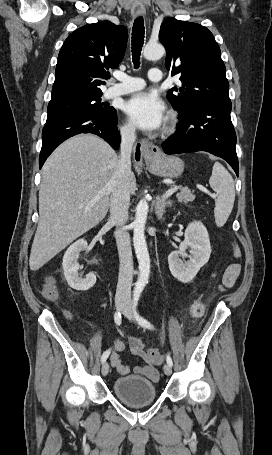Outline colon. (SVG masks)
<instances>
[{"label": "colon", "mask_w": 272, "mask_h": 455, "mask_svg": "<svg viewBox=\"0 0 272 455\" xmlns=\"http://www.w3.org/2000/svg\"><path fill=\"white\" fill-rule=\"evenodd\" d=\"M216 273L213 274V277ZM44 297L48 300H55L58 296L57 290L52 281H48L43 290ZM205 307L202 302H195L191 307V315L194 319L198 320L204 315ZM148 359L154 364H160L164 360L163 354L157 349H150L147 353Z\"/></svg>", "instance_id": "1"}]
</instances>
